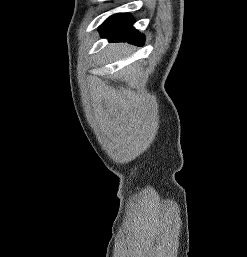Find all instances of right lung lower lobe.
Segmentation results:
<instances>
[{"mask_svg": "<svg viewBox=\"0 0 247 257\" xmlns=\"http://www.w3.org/2000/svg\"><path fill=\"white\" fill-rule=\"evenodd\" d=\"M134 19L128 13H119L109 17L99 28L101 36L113 42H124L142 46L144 35L132 27Z\"/></svg>", "mask_w": 247, "mask_h": 257, "instance_id": "1", "label": "right lung lower lobe"}]
</instances>
